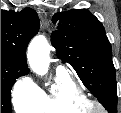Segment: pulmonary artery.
Returning <instances> with one entry per match:
<instances>
[{
	"label": "pulmonary artery",
	"mask_w": 121,
	"mask_h": 113,
	"mask_svg": "<svg viewBox=\"0 0 121 113\" xmlns=\"http://www.w3.org/2000/svg\"><path fill=\"white\" fill-rule=\"evenodd\" d=\"M57 73H66V70L63 66H58L57 67Z\"/></svg>",
	"instance_id": "e3ab8cb5"
}]
</instances>
